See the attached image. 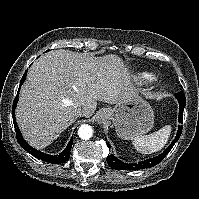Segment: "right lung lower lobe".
<instances>
[{
    "label": "right lung lower lobe",
    "instance_id": "right-lung-lower-lobe-1",
    "mask_svg": "<svg viewBox=\"0 0 199 199\" xmlns=\"http://www.w3.org/2000/svg\"><path fill=\"white\" fill-rule=\"evenodd\" d=\"M26 80V72L24 73L22 79H21V82H20V86L19 88L21 87V85L23 84V82ZM19 92V90H18ZM17 101H18V93H17V96L13 102V108H12V117L14 118L13 119V123H14V127H15V132H16V137H17V140L20 144V146L27 152L31 153L33 156L45 161V162H49V163H53V164H61V163H64L66 162L69 157H70V151H71V148H72V142L73 140L71 139L70 142L68 143V145L66 146V148L63 150V152H61L59 155H55V156H52V155H48V154H44L34 148H32L31 146H29L26 141L23 139L22 137V134L20 133V130L19 128L17 127V123H16V120H15V107H16V104H17Z\"/></svg>",
    "mask_w": 199,
    "mask_h": 199
}]
</instances>
